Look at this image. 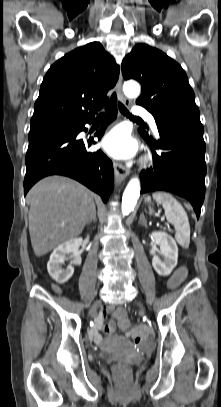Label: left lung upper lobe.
<instances>
[{
	"instance_id": "left-lung-upper-lobe-1",
	"label": "left lung upper lobe",
	"mask_w": 221,
	"mask_h": 407,
	"mask_svg": "<svg viewBox=\"0 0 221 407\" xmlns=\"http://www.w3.org/2000/svg\"><path fill=\"white\" fill-rule=\"evenodd\" d=\"M122 74L126 80L141 83L142 94L136 103L145 107L156 121L179 114L200 116L186 73L162 51L137 44L124 58Z\"/></svg>"
}]
</instances>
